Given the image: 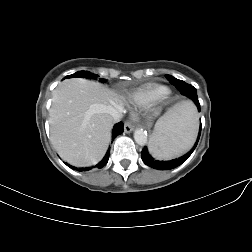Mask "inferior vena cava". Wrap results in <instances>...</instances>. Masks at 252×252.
I'll return each instance as SVG.
<instances>
[{
	"label": "inferior vena cava",
	"mask_w": 252,
	"mask_h": 252,
	"mask_svg": "<svg viewBox=\"0 0 252 252\" xmlns=\"http://www.w3.org/2000/svg\"><path fill=\"white\" fill-rule=\"evenodd\" d=\"M106 111L113 118L114 123L119 122L123 117L122 111L111 105L107 106Z\"/></svg>",
	"instance_id": "1"
}]
</instances>
